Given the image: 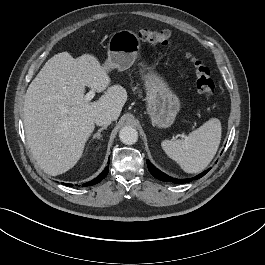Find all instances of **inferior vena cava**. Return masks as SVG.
I'll list each match as a JSON object with an SVG mask.
<instances>
[{
	"instance_id": "inferior-vena-cava-1",
	"label": "inferior vena cava",
	"mask_w": 265,
	"mask_h": 265,
	"mask_svg": "<svg viewBox=\"0 0 265 265\" xmlns=\"http://www.w3.org/2000/svg\"><path fill=\"white\" fill-rule=\"evenodd\" d=\"M113 120L114 117L112 114L108 112H102L95 116L94 122L98 126H108Z\"/></svg>"
}]
</instances>
